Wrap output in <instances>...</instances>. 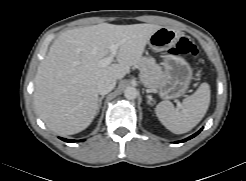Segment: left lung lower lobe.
Listing matches in <instances>:
<instances>
[{
  "label": "left lung lower lobe",
  "mask_w": 246,
  "mask_h": 181,
  "mask_svg": "<svg viewBox=\"0 0 246 181\" xmlns=\"http://www.w3.org/2000/svg\"><path fill=\"white\" fill-rule=\"evenodd\" d=\"M201 130H202V129H201ZM201 130H200V131H201ZM200 131L196 132L195 134H193L192 136L188 137L187 139H184V140L178 141V142H176V143L185 142L186 140H189V139H191V138L195 137L196 135H198V134L200 133Z\"/></svg>",
  "instance_id": "obj_1"
}]
</instances>
